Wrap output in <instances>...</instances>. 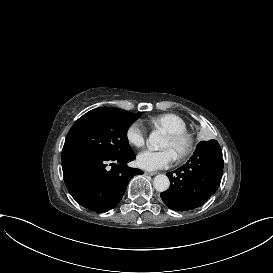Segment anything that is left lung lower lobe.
<instances>
[{
	"label": "left lung lower lobe",
	"mask_w": 273,
	"mask_h": 273,
	"mask_svg": "<svg viewBox=\"0 0 273 273\" xmlns=\"http://www.w3.org/2000/svg\"><path fill=\"white\" fill-rule=\"evenodd\" d=\"M223 167L222 150L218 142L201 141L185 165L167 173L171 186L161 193V199L175 211L202 206L218 189Z\"/></svg>",
	"instance_id": "left-lung-lower-lobe-1"
}]
</instances>
